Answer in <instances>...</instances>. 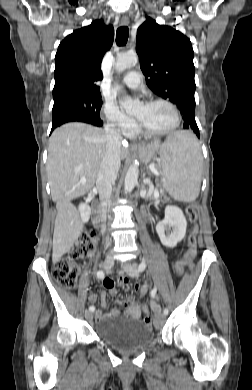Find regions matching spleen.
Returning a JSON list of instances; mask_svg holds the SVG:
<instances>
[{
  "mask_svg": "<svg viewBox=\"0 0 252 390\" xmlns=\"http://www.w3.org/2000/svg\"><path fill=\"white\" fill-rule=\"evenodd\" d=\"M162 184L181 202H193L199 195L202 154L195 137L186 131L169 136L161 150Z\"/></svg>",
  "mask_w": 252,
  "mask_h": 390,
  "instance_id": "3e777b00",
  "label": "spleen"
}]
</instances>
